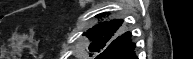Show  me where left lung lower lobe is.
<instances>
[{"instance_id": "left-lung-lower-lobe-1", "label": "left lung lower lobe", "mask_w": 193, "mask_h": 59, "mask_svg": "<svg viewBox=\"0 0 193 59\" xmlns=\"http://www.w3.org/2000/svg\"><path fill=\"white\" fill-rule=\"evenodd\" d=\"M131 33H124L111 47L106 48L96 59H137Z\"/></svg>"}]
</instances>
